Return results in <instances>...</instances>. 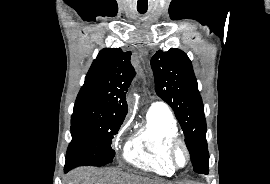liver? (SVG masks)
<instances>
[{
  "label": "liver",
  "instance_id": "1",
  "mask_svg": "<svg viewBox=\"0 0 270 184\" xmlns=\"http://www.w3.org/2000/svg\"><path fill=\"white\" fill-rule=\"evenodd\" d=\"M69 184H167L161 180L123 173L115 168L81 167L68 174Z\"/></svg>",
  "mask_w": 270,
  "mask_h": 184
}]
</instances>
